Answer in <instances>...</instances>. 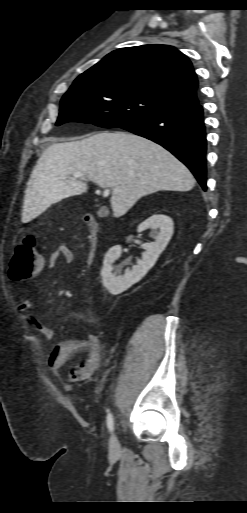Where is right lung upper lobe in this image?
Listing matches in <instances>:
<instances>
[{"mask_svg": "<svg viewBox=\"0 0 247 513\" xmlns=\"http://www.w3.org/2000/svg\"><path fill=\"white\" fill-rule=\"evenodd\" d=\"M83 88L126 89L175 107L198 101L197 76L191 61L167 45L115 50L74 81Z\"/></svg>", "mask_w": 247, "mask_h": 513, "instance_id": "cb5924a9", "label": "right lung upper lobe"}]
</instances>
